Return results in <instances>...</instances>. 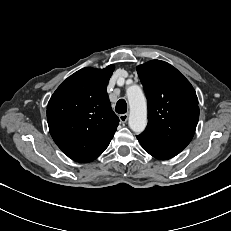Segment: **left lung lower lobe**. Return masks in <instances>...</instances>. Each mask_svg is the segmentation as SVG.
Wrapping results in <instances>:
<instances>
[{
    "mask_svg": "<svg viewBox=\"0 0 231 231\" xmlns=\"http://www.w3.org/2000/svg\"><path fill=\"white\" fill-rule=\"evenodd\" d=\"M137 139L142 145L143 149L157 159H170L180 153L175 149L159 144L143 135H138Z\"/></svg>",
    "mask_w": 231,
    "mask_h": 231,
    "instance_id": "0a47b994",
    "label": "left lung lower lobe"
}]
</instances>
